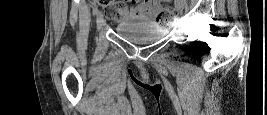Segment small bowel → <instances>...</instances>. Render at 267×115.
I'll list each match as a JSON object with an SVG mask.
<instances>
[{
  "instance_id": "small-bowel-1",
  "label": "small bowel",
  "mask_w": 267,
  "mask_h": 115,
  "mask_svg": "<svg viewBox=\"0 0 267 115\" xmlns=\"http://www.w3.org/2000/svg\"><path fill=\"white\" fill-rule=\"evenodd\" d=\"M163 0H144L132 7L129 17L137 20H153Z\"/></svg>"
}]
</instances>
